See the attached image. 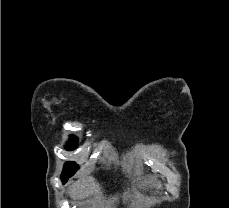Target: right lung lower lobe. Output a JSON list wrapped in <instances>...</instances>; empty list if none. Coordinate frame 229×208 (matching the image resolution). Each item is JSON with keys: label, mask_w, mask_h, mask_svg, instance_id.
<instances>
[{"label": "right lung lower lobe", "mask_w": 229, "mask_h": 208, "mask_svg": "<svg viewBox=\"0 0 229 208\" xmlns=\"http://www.w3.org/2000/svg\"><path fill=\"white\" fill-rule=\"evenodd\" d=\"M67 177H61V180L63 181V183H65L67 181Z\"/></svg>", "instance_id": "obj_1"}]
</instances>
